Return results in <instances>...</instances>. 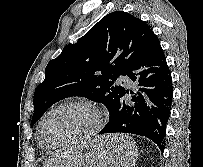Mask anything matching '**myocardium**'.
I'll use <instances>...</instances> for the list:
<instances>
[{
	"instance_id": "myocardium-1",
	"label": "myocardium",
	"mask_w": 203,
	"mask_h": 167,
	"mask_svg": "<svg viewBox=\"0 0 203 167\" xmlns=\"http://www.w3.org/2000/svg\"><path fill=\"white\" fill-rule=\"evenodd\" d=\"M66 106H80V107H84V108L88 109L89 111H91L95 117V122H94L93 126L89 130H87L86 132L82 133L81 135H79L75 138H72V139H69V140H66V141H63L60 143H56V144H47L43 138V125H44L45 121L47 120V118L52 113H54L55 111H57L60 108L66 107ZM103 123H104L103 114L99 110V108L96 107L93 103H91L87 100H83V99L65 100V101L53 106L43 115V117L41 118V120L38 124V139L42 146H45L48 148L64 147V146L72 145V144L79 143V142L92 138L101 130Z\"/></svg>"
}]
</instances>
